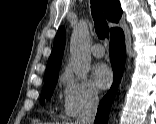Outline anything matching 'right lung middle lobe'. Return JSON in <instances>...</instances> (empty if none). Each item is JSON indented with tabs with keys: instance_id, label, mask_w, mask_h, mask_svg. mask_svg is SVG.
I'll use <instances>...</instances> for the list:
<instances>
[{
	"instance_id": "obj_1",
	"label": "right lung middle lobe",
	"mask_w": 156,
	"mask_h": 124,
	"mask_svg": "<svg viewBox=\"0 0 156 124\" xmlns=\"http://www.w3.org/2000/svg\"><path fill=\"white\" fill-rule=\"evenodd\" d=\"M57 80H58L57 74L44 78V86L41 94V104H44L45 98L49 99L52 96Z\"/></svg>"
}]
</instances>
